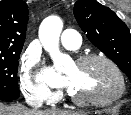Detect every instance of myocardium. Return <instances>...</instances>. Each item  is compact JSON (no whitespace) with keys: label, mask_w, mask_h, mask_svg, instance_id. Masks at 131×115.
I'll list each match as a JSON object with an SVG mask.
<instances>
[{"label":"myocardium","mask_w":131,"mask_h":115,"mask_svg":"<svg viewBox=\"0 0 131 115\" xmlns=\"http://www.w3.org/2000/svg\"><path fill=\"white\" fill-rule=\"evenodd\" d=\"M94 60H100L112 68L118 80V89L113 95L107 98H102V99L84 98V97L76 96L73 93H69V98L72 100V102H74L75 104L79 106H86V107L109 106L113 104L114 102H116L117 100H119L120 98H122L126 91L125 78L120 67L108 56L104 54H98V53L85 54V55L79 56L76 59L75 64L84 65Z\"/></svg>","instance_id":"myocardium-1"}]
</instances>
